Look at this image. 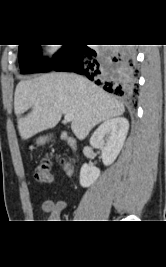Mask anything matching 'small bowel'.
<instances>
[{"label": "small bowel", "instance_id": "small-bowel-1", "mask_svg": "<svg viewBox=\"0 0 166 267\" xmlns=\"http://www.w3.org/2000/svg\"><path fill=\"white\" fill-rule=\"evenodd\" d=\"M66 207V202L64 200H51L47 199L43 201L41 209L49 216V220L52 222H57L60 220L62 211Z\"/></svg>", "mask_w": 166, "mask_h": 267}]
</instances>
